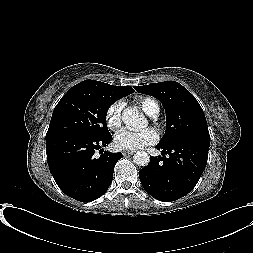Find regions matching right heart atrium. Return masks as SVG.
I'll list each match as a JSON object with an SVG mask.
<instances>
[{
  "instance_id": "right-heart-atrium-1",
  "label": "right heart atrium",
  "mask_w": 253,
  "mask_h": 253,
  "mask_svg": "<svg viewBox=\"0 0 253 253\" xmlns=\"http://www.w3.org/2000/svg\"><path fill=\"white\" fill-rule=\"evenodd\" d=\"M124 103L121 100L113 102L106 110L105 120L109 129L115 130L121 125Z\"/></svg>"
}]
</instances>
